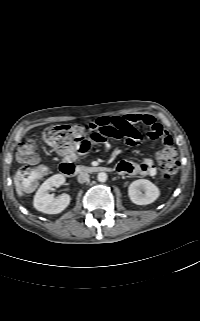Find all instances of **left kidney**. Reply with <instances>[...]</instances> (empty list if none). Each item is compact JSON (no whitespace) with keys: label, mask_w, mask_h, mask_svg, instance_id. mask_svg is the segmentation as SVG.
<instances>
[{"label":"left kidney","mask_w":200,"mask_h":321,"mask_svg":"<svg viewBox=\"0 0 200 321\" xmlns=\"http://www.w3.org/2000/svg\"><path fill=\"white\" fill-rule=\"evenodd\" d=\"M128 195L134 204L148 205L153 203L160 196V191L151 181L139 179L130 184Z\"/></svg>","instance_id":"5707ae66"}]
</instances>
